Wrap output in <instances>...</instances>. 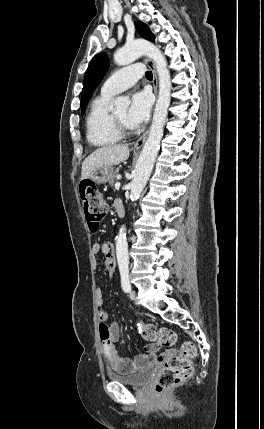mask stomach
I'll use <instances>...</instances> for the list:
<instances>
[{
  "mask_svg": "<svg viewBox=\"0 0 264 429\" xmlns=\"http://www.w3.org/2000/svg\"><path fill=\"white\" fill-rule=\"evenodd\" d=\"M113 174L114 169L112 166H102L90 175V180L98 184L106 183Z\"/></svg>",
  "mask_w": 264,
  "mask_h": 429,
  "instance_id": "stomach-1",
  "label": "stomach"
}]
</instances>
